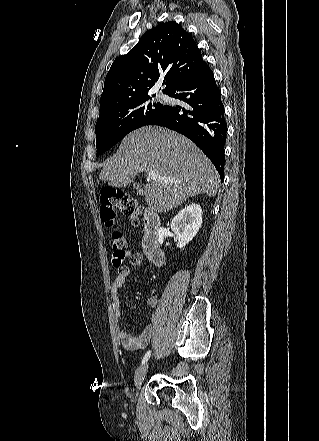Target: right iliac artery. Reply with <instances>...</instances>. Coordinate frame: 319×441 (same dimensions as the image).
<instances>
[{
	"instance_id": "obj_1",
	"label": "right iliac artery",
	"mask_w": 319,
	"mask_h": 441,
	"mask_svg": "<svg viewBox=\"0 0 319 441\" xmlns=\"http://www.w3.org/2000/svg\"><path fill=\"white\" fill-rule=\"evenodd\" d=\"M150 355H151V351L149 350V351H147V353L144 355V357L142 359V365L145 364L149 360Z\"/></svg>"
}]
</instances>
